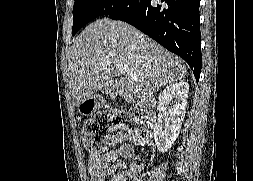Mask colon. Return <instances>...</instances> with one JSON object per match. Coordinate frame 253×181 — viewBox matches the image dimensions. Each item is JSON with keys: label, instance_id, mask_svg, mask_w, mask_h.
<instances>
[{"label": "colon", "instance_id": "colon-1", "mask_svg": "<svg viewBox=\"0 0 253 181\" xmlns=\"http://www.w3.org/2000/svg\"><path fill=\"white\" fill-rule=\"evenodd\" d=\"M129 136L139 143L147 139L143 125L130 119L122 111H109L95 115L82 128V138L91 153L105 151L120 138ZM115 181H137L134 174L128 173L115 178Z\"/></svg>", "mask_w": 253, "mask_h": 181}]
</instances>
